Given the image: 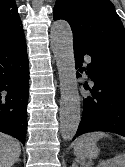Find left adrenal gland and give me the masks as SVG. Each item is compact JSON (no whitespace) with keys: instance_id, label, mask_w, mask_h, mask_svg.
Instances as JSON below:
<instances>
[{"instance_id":"a2214340","label":"left adrenal gland","mask_w":125,"mask_h":167,"mask_svg":"<svg viewBox=\"0 0 125 167\" xmlns=\"http://www.w3.org/2000/svg\"><path fill=\"white\" fill-rule=\"evenodd\" d=\"M71 167H76L75 164H73Z\"/></svg>"}]
</instances>
